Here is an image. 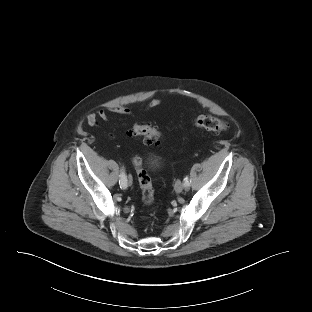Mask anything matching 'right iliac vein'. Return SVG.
<instances>
[{
    "label": "right iliac vein",
    "instance_id": "right-iliac-vein-1",
    "mask_svg": "<svg viewBox=\"0 0 312 312\" xmlns=\"http://www.w3.org/2000/svg\"><path fill=\"white\" fill-rule=\"evenodd\" d=\"M128 183L131 184L132 183V178L130 176H128Z\"/></svg>",
    "mask_w": 312,
    "mask_h": 312
}]
</instances>
